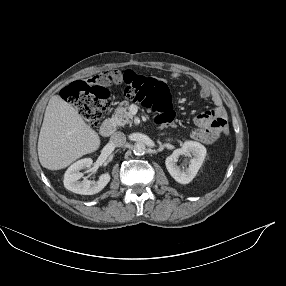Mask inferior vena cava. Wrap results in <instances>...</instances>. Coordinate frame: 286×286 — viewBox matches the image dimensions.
<instances>
[{
  "mask_svg": "<svg viewBox=\"0 0 286 286\" xmlns=\"http://www.w3.org/2000/svg\"><path fill=\"white\" fill-rule=\"evenodd\" d=\"M110 142L113 146L115 147H121L125 144L126 142V136L124 133L122 132H115L111 138H110Z\"/></svg>",
  "mask_w": 286,
  "mask_h": 286,
  "instance_id": "inferior-vena-cava-1",
  "label": "inferior vena cava"
}]
</instances>
